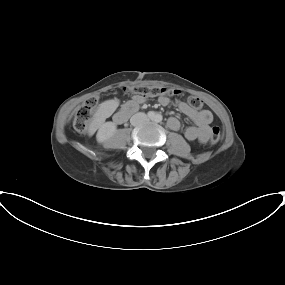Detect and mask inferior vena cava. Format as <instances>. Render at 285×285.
Masks as SVG:
<instances>
[{"label":"inferior vena cava","instance_id":"inferior-vena-cava-1","mask_svg":"<svg viewBox=\"0 0 285 285\" xmlns=\"http://www.w3.org/2000/svg\"><path fill=\"white\" fill-rule=\"evenodd\" d=\"M148 121H149L148 116L142 112L134 114L130 119V123L133 126H138V125H141V124L146 123Z\"/></svg>","mask_w":285,"mask_h":285}]
</instances>
